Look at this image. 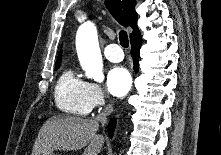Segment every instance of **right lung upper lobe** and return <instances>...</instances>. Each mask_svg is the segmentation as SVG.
<instances>
[{"label": "right lung upper lobe", "mask_w": 221, "mask_h": 155, "mask_svg": "<svg viewBox=\"0 0 221 155\" xmlns=\"http://www.w3.org/2000/svg\"><path fill=\"white\" fill-rule=\"evenodd\" d=\"M106 5L119 23L123 26H130L133 28L130 39L139 33L137 26L138 17L134 10L136 5L135 0H106ZM57 65H59V58L56 66Z\"/></svg>", "instance_id": "cb5924a9"}]
</instances>
